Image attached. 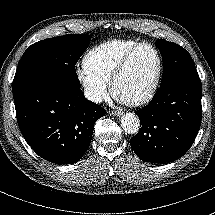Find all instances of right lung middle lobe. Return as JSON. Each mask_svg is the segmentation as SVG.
<instances>
[{"label": "right lung middle lobe", "instance_id": "1", "mask_svg": "<svg viewBox=\"0 0 215 215\" xmlns=\"http://www.w3.org/2000/svg\"><path fill=\"white\" fill-rule=\"evenodd\" d=\"M91 36L68 34L32 44L22 55L13 80V96L37 84L80 88L75 64L87 49Z\"/></svg>", "mask_w": 215, "mask_h": 215}]
</instances>
